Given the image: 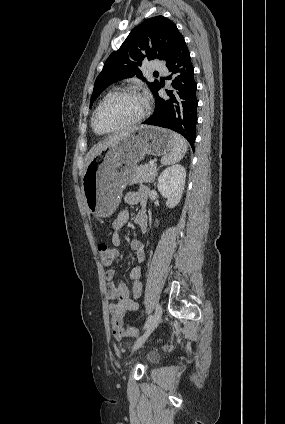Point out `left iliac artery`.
<instances>
[{
	"instance_id": "obj_1",
	"label": "left iliac artery",
	"mask_w": 285,
	"mask_h": 424,
	"mask_svg": "<svg viewBox=\"0 0 285 424\" xmlns=\"http://www.w3.org/2000/svg\"><path fill=\"white\" fill-rule=\"evenodd\" d=\"M152 318H153V316H152V315H150V316L148 317V319H147V321H146V323H145V325H144V328H143V329H146L147 327H149V325H150V323H151V321H152Z\"/></svg>"
}]
</instances>
